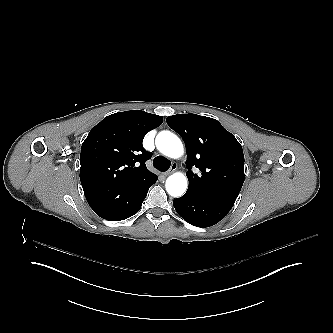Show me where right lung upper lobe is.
Masks as SVG:
<instances>
[{
	"mask_svg": "<svg viewBox=\"0 0 333 333\" xmlns=\"http://www.w3.org/2000/svg\"><path fill=\"white\" fill-rule=\"evenodd\" d=\"M163 117L141 110L118 112L105 117L88 134L80 154V180L99 174L120 180L149 172L145 162L152 157L142 141Z\"/></svg>",
	"mask_w": 333,
	"mask_h": 333,
	"instance_id": "obj_1",
	"label": "right lung upper lobe"
}]
</instances>
